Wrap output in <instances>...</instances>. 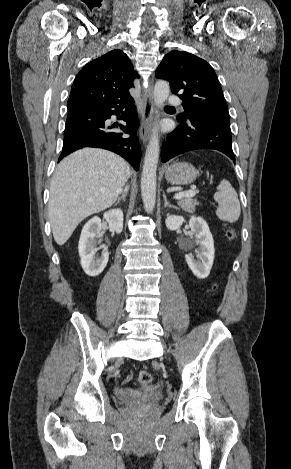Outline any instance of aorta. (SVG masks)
Returning a JSON list of instances; mask_svg holds the SVG:
<instances>
[{
    "label": "aorta",
    "mask_w": 291,
    "mask_h": 469,
    "mask_svg": "<svg viewBox=\"0 0 291 469\" xmlns=\"http://www.w3.org/2000/svg\"><path fill=\"white\" fill-rule=\"evenodd\" d=\"M170 93L169 84L166 81H157L154 87V104L161 108ZM159 160V136L158 127L152 130L151 139L147 145L144 165L141 176V195L146 212L151 213L156 201V171Z\"/></svg>",
    "instance_id": "aorta-1"
}]
</instances>
